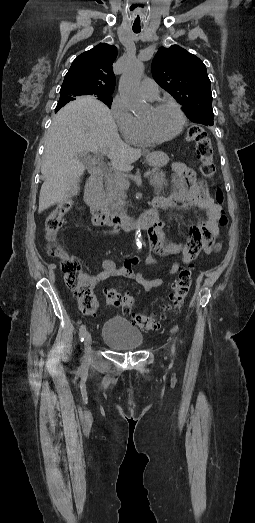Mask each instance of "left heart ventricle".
<instances>
[{
    "mask_svg": "<svg viewBox=\"0 0 255 523\" xmlns=\"http://www.w3.org/2000/svg\"><path fill=\"white\" fill-rule=\"evenodd\" d=\"M141 119L146 120L151 132L158 137H167L175 133L180 125V117L172 106L158 110H148Z\"/></svg>",
    "mask_w": 255,
    "mask_h": 523,
    "instance_id": "1",
    "label": "left heart ventricle"
}]
</instances>
